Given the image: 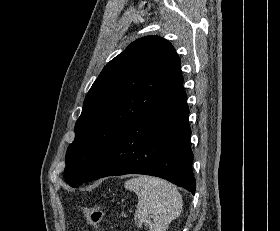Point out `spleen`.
Returning a JSON list of instances; mask_svg holds the SVG:
<instances>
[{
	"label": "spleen",
	"instance_id": "obj_1",
	"mask_svg": "<svg viewBox=\"0 0 280 231\" xmlns=\"http://www.w3.org/2000/svg\"><path fill=\"white\" fill-rule=\"evenodd\" d=\"M124 187L138 195L137 217L140 223H148L149 231H166L171 221L179 217L183 205L182 197L177 187L165 179L139 175L127 179ZM150 217H153V221Z\"/></svg>",
	"mask_w": 280,
	"mask_h": 231
}]
</instances>
